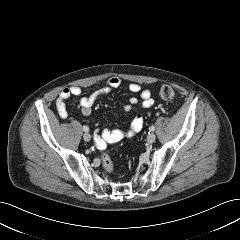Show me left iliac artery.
Wrapping results in <instances>:
<instances>
[{"mask_svg":"<svg viewBox=\"0 0 240 240\" xmlns=\"http://www.w3.org/2000/svg\"><path fill=\"white\" fill-rule=\"evenodd\" d=\"M149 130H150V132H153L155 130V127L154 126H150Z\"/></svg>","mask_w":240,"mask_h":240,"instance_id":"44dca946","label":"left iliac artery"}]
</instances>
